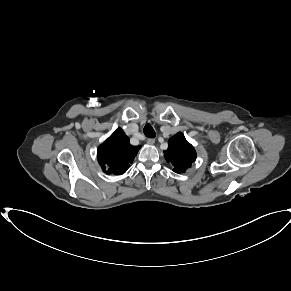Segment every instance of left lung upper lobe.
Instances as JSON below:
<instances>
[{"label": "left lung upper lobe", "instance_id": "left-lung-upper-lobe-1", "mask_svg": "<svg viewBox=\"0 0 291 291\" xmlns=\"http://www.w3.org/2000/svg\"><path fill=\"white\" fill-rule=\"evenodd\" d=\"M168 143L169 147L164 151L165 159L174 166V172H185L196 159L195 149L182 133H177Z\"/></svg>", "mask_w": 291, "mask_h": 291}]
</instances>
